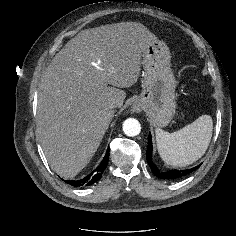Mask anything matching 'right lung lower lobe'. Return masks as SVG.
<instances>
[{"label": "right lung lower lobe", "instance_id": "obj_1", "mask_svg": "<svg viewBox=\"0 0 236 236\" xmlns=\"http://www.w3.org/2000/svg\"><path fill=\"white\" fill-rule=\"evenodd\" d=\"M108 158H109V148L107 149L105 157L103 158V161L101 162L100 166L97 169H95L93 172H91L89 175H87L83 179L76 180V181L67 180L66 183L74 187H84V186L92 185L93 183H95L96 181L100 179L101 175L106 169V166L108 164Z\"/></svg>", "mask_w": 236, "mask_h": 236}]
</instances>
